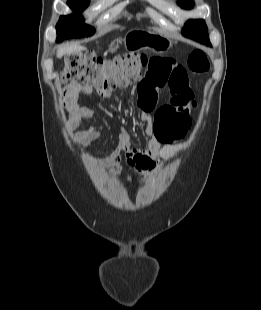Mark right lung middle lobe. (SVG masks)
<instances>
[{"instance_id": "1", "label": "right lung middle lobe", "mask_w": 261, "mask_h": 310, "mask_svg": "<svg viewBox=\"0 0 261 310\" xmlns=\"http://www.w3.org/2000/svg\"><path fill=\"white\" fill-rule=\"evenodd\" d=\"M68 5L76 13L70 16L60 17V20L56 25L57 42L66 38L93 35L95 29L84 24V19L78 14V12L83 11L89 5V0H68Z\"/></svg>"}]
</instances>
